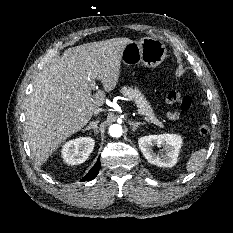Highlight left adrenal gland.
<instances>
[{
	"label": "left adrenal gland",
	"mask_w": 233,
	"mask_h": 233,
	"mask_svg": "<svg viewBox=\"0 0 233 233\" xmlns=\"http://www.w3.org/2000/svg\"><path fill=\"white\" fill-rule=\"evenodd\" d=\"M129 124L133 126L132 130L136 131L140 125H144L145 123L129 121Z\"/></svg>",
	"instance_id": "a2214340"
}]
</instances>
